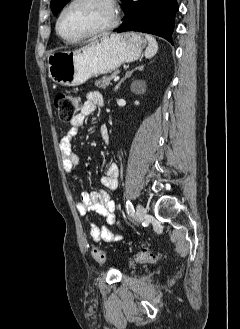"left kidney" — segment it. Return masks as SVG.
<instances>
[{
    "label": "left kidney",
    "mask_w": 240,
    "mask_h": 329,
    "mask_svg": "<svg viewBox=\"0 0 240 329\" xmlns=\"http://www.w3.org/2000/svg\"><path fill=\"white\" fill-rule=\"evenodd\" d=\"M146 87L145 82L137 81L131 85L133 91H142Z\"/></svg>",
    "instance_id": "5707ae66"
}]
</instances>
